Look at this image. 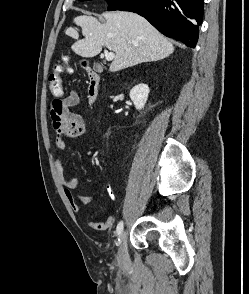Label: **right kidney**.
<instances>
[{"label":"right kidney","instance_id":"obj_1","mask_svg":"<svg viewBox=\"0 0 249 294\" xmlns=\"http://www.w3.org/2000/svg\"><path fill=\"white\" fill-rule=\"evenodd\" d=\"M150 89L147 84H138L133 87L130 91V98L134 103V106L137 110L144 108Z\"/></svg>","mask_w":249,"mask_h":294}]
</instances>
